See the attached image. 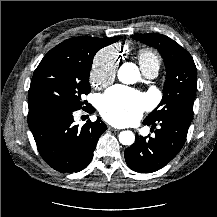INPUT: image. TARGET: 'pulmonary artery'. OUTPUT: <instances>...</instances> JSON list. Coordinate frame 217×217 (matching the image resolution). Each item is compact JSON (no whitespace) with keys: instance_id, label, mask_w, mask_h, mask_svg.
Returning a JSON list of instances; mask_svg holds the SVG:
<instances>
[{"instance_id":"e3ab8cb5","label":"pulmonary artery","mask_w":217,"mask_h":217,"mask_svg":"<svg viewBox=\"0 0 217 217\" xmlns=\"http://www.w3.org/2000/svg\"><path fill=\"white\" fill-rule=\"evenodd\" d=\"M158 71H159V67L153 66V67H150V68L144 70L143 73L147 78H154L157 76Z\"/></svg>"}]
</instances>
